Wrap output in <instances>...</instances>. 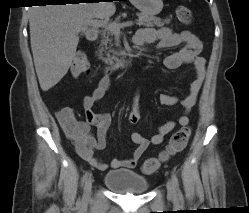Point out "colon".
Wrapping results in <instances>:
<instances>
[{"instance_id":"obj_1","label":"colon","mask_w":249,"mask_h":213,"mask_svg":"<svg viewBox=\"0 0 249 213\" xmlns=\"http://www.w3.org/2000/svg\"><path fill=\"white\" fill-rule=\"evenodd\" d=\"M176 15L178 19L186 25H189L192 22V12L186 6H179L176 9ZM89 70L90 65L86 56L83 53H76L71 67L73 76L78 77L82 74L88 73ZM190 135L191 128L188 126H184L176 131L171 136L165 150L162 152L159 158L148 159L144 161L142 164V171L145 174L154 173L160 167L162 162L168 160L170 157L176 155L185 148Z\"/></svg>"}]
</instances>
